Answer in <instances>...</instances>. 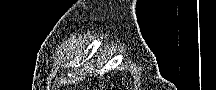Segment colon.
I'll use <instances>...</instances> for the list:
<instances>
[{
	"instance_id": "1",
	"label": "colon",
	"mask_w": 216,
	"mask_h": 90,
	"mask_svg": "<svg viewBox=\"0 0 216 90\" xmlns=\"http://www.w3.org/2000/svg\"><path fill=\"white\" fill-rule=\"evenodd\" d=\"M105 85L104 84H101L96 90H105Z\"/></svg>"
}]
</instances>
